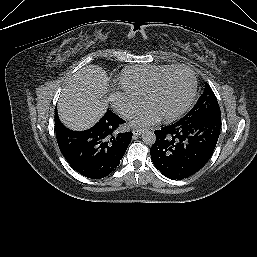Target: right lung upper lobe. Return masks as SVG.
I'll list each match as a JSON object with an SVG mask.
<instances>
[{
    "label": "right lung upper lobe",
    "mask_w": 257,
    "mask_h": 257,
    "mask_svg": "<svg viewBox=\"0 0 257 257\" xmlns=\"http://www.w3.org/2000/svg\"><path fill=\"white\" fill-rule=\"evenodd\" d=\"M55 124H60L58 114L55 115Z\"/></svg>",
    "instance_id": "cb5924a9"
}]
</instances>
